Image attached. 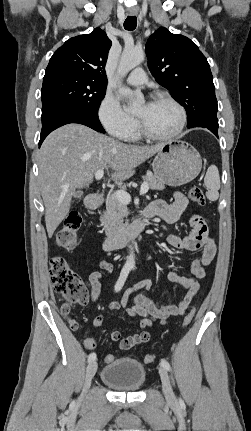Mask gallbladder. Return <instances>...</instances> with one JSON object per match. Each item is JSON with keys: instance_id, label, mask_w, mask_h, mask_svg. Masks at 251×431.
Masks as SVG:
<instances>
[{"instance_id": "obj_1", "label": "gallbladder", "mask_w": 251, "mask_h": 431, "mask_svg": "<svg viewBox=\"0 0 251 431\" xmlns=\"http://www.w3.org/2000/svg\"><path fill=\"white\" fill-rule=\"evenodd\" d=\"M83 195L82 191H77L74 195L75 198H80Z\"/></svg>"}]
</instances>
